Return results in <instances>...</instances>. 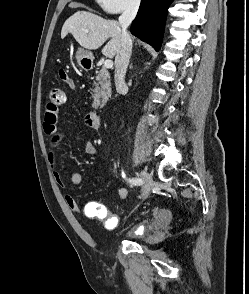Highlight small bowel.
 I'll return each mask as SVG.
<instances>
[{
	"label": "small bowel",
	"instance_id": "small-bowel-1",
	"mask_svg": "<svg viewBox=\"0 0 249 294\" xmlns=\"http://www.w3.org/2000/svg\"><path fill=\"white\" fill-rule=\"evenodd\" d=\"M59 76L61 80L66 83L71 89L75 88L74 80L69 77L66 73L59 72ZM58 120H59V107L47 105L42 127L44 133L49 137V145H50V153L49 159L52 164V175L55 183L61 187L65 188L66 183L65 180L57 168V156L56 152L60 149L61 140L63 134L60 132L58 127ZM84 123L88 128H95L93 126L92 121L87 114L84 119ZM84 151L87 155H94L97 153V146L92 141H87L84 146ZM69 179L71 183L75 186L82 185L83 179L79 172L72 171L69 175ZM128 196V190L124 187H119L117 189V198L121 201L125 200ZM65 202L69 209L75 212L78 215H81L85 218L89 219H98L102 222L103 226L108 229L112 230L115 229L119 222V217L107 211L106 207L97 202V201H87L83 208L79 206L76 200L69 194L65 195ZM163 209H159L156 211L157 219L160 218L164 214Z\"/></svg>",
	"mask_w": 249,
	"mask_h": 294
}]
</instances>
